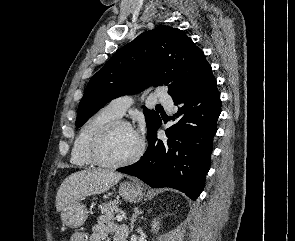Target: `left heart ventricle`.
<instances>
[{
  "label": "left heart ventricle",
  "instance_id": "b2bd125f",
  "mask_svg": "<svg viewBox=\"0 0 295 241\" xmlns=\"http://www.w3.org/2000/svg\"><path fill=\"white\" fill-rule=\"evenodd\" d=\"M139 147V139L135 131L120 127L110 136L105 146V156L111 161H122L133 156Z\"/></svg>",
  "mask_w": 295,
  "mask_h": 241
}]
</instances>
